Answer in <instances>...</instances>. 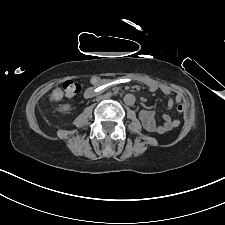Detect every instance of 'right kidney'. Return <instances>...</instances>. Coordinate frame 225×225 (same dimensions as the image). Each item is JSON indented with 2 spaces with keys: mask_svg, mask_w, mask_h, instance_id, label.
Wrapping results in <instances>:
<instances>
[{
  "mask_svg": "<svg viewBox=\"0 0 225 225\" xmlns=\"http://www.w3.org/2000/svg\"><path fill=\"white\" fill-rule=\"evenodd\" d=\"M71 110V106L69 104H65L58 108L59 112L68 113Z\"/></svg>",
  "mask_w": 225,
  "mask_h": 225,
  "instance_id": "right-kidney-1",
  "label": "right kidney"
}]
</instances>
